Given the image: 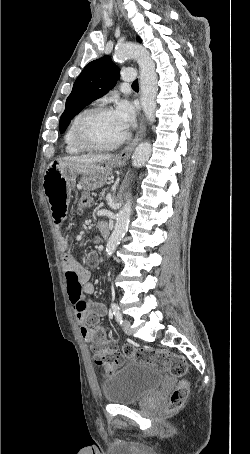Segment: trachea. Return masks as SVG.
<instances>
[{"mask_svg": "<svg viewBox=\"0 0 250 454\" xmlns=\"http://www.w3.org/2000/svg\"><path fill=\"white\" fill-rule=\"evenodd\" d=\"M132 86H138V80H135L132 84Z\"/></svg>", "mask_w": 250, "mask_h": 454, "instance_id": "obj_1", "label": "trachea"}]
</instances>
